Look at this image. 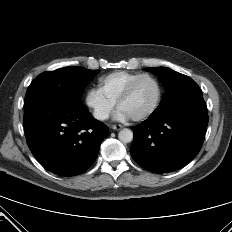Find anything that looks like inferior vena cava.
<instances>
[{"instance_id": "inferior-vena-cava-1", "label": "inferior vena cava", "mask_w": 232, "mask_h": 232, "mask_svg": "<svg viewBox=\"0 0 232 232\" xmlns=\"http://www.w3.org/2000/svg\"><path fill=\"white\" fill-rule=\"evenodd\" d=\"M93 115L98 120H105L109 117V114L107 112L99 110H95Z\"/></svg>"}]
</instances>
